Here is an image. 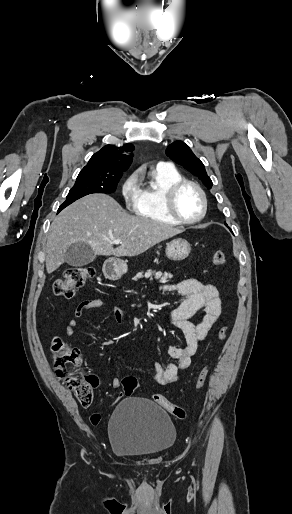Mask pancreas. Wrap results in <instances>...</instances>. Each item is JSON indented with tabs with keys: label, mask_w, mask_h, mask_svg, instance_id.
Returning <instances> with one entry per match:
<instances>
[{
	"label": "pancreas",
	"mask_w": 292,
	"mask_h": 514,
	"mask_svg": "<svg viewBox=\"0 0 292 514\" xmlns=\"http://www.w3.org/2000/svg\"><path fill=\"white\" fill-rule=\"evenodd\" d=\"M153 276H155V280H159L160 284H166V282H169L168 278H172V274H167V272H153V270H147L143 276V272H139V274H136L134 276L133 280H138V278H150V280H153Z\"/></svg>",
	"instance_id": "obj_1"
}]
</instances>
